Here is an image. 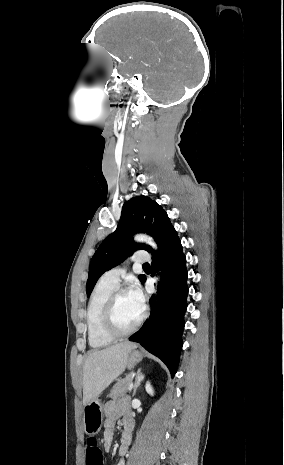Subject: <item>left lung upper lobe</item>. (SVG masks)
Listing matches in <instances>:
<instances>
[{
  "label": "left lung upper lobe",
  "mask_w": 284,
  "mask_h": 465,
  "mask_svg": "<svg viewBox=\"0 0 284 465\" xmlns=\"http://www.w3.org/2000/svg\"><path fill=\"white\" fill-rule=\"evenodd\" d=\"M174 231L165 210L149 197L138 196L124 203L116 230L102 242L91 260L86 284L87 296L105 271L120 264L133 251L144 249L152 255L156 253L148 245L134 243L130 239L134 233L146 232L152 235L161 250ZM144 277L139 275L141 281Z\"/></svg>",
  "instance_id": "left-lung-upper-lobe-1"
}]
</instances>
